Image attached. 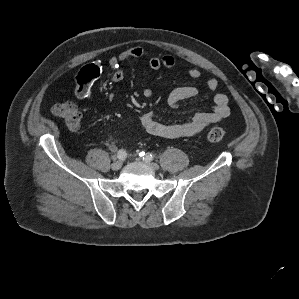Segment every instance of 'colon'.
I'll use <instances>...</instances> for the list:
<instances>
[{
	"label": "colon",
	"instance_id": "colon-1",
	"mask_svg": "<svg viewBox=\"0 0 299 299\" xmlns=\"http://www.w3.org/2000/svg\"><path fill=\"white\" fill-rule=\"evenodd\" d=\"M52 111L69 129L77 130L80 127L82 114L73 102H57ZM206 137L211 142H218L226 137V131L220 127H213L207 132Z\"/></svg>",
	"mask_w": 299,
	"mask_h": 299
}]
</instances>
